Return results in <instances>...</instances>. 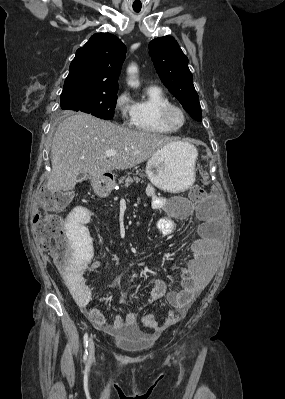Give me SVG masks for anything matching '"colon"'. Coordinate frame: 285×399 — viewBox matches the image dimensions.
Returning <instances> with one entry per match:
<instances>
[{"label": "colon", "instance_id": "1", "mask_svg": "<svg viewBox=\"0 0 285 399\" xmlns=\"http://www.w3.org/2000/svg\"><path fill=\"white\" fill-rule=\"evenodd\" d=\"M206 195L202 186L194 185L189 190V197L191 200H200ZM65 198L59 196H46V206H62ZM81 225L88 230L80 220ZM89 231V230H88ZM31 232L37 239L39 247L47 252L56 262L57 268L65 274L74 273L79 278L80 271L71 264V254L67 242V234L65 232L64 221L53 213H37L31 222ZM85 232V229L83 230ZM79 255L83 259H89L92 256V243L89 237L88 244L84 239L77 248ZM168 316L171 320H176L179 316L177 312L170 311ZM142 324L146 328H153L160 325L153 314H145L141 318Z\"/></svg>", "mask_w": 285, "mask_h": 399}]
</instances>
